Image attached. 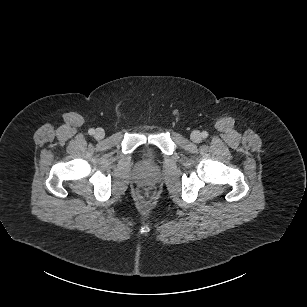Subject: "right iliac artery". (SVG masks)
<instances>
[{
    "mask_svg": "<svg viewBox=\"0 0 307 307\" xmlns=\"http://www.w3.org/2000/svg\"><path fill=\"white\" fill-rule=\"evenodd\" d=\"M88 133H89L90 135H93V134L95 133V131H94V129L91 128V129L88 130Z\"/></svg>",
    "mask_w": 307,
    "mask_h": 307,
    "instance_id": "1",
    "label": "right iliac artery"
}]
</instances>
